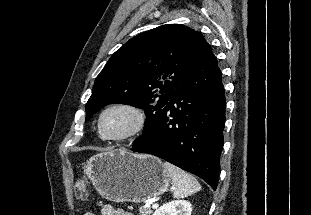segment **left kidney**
Returning <instances> with one entry per match:
<instances>
[{
    "mask_svg": "<svg viewBox=\"0 0 311 215\" xmlns=\"http://www.w3.org/2000/svg\"><path fill=\"white\" fill-rule=\"evenodd\" d=\"M192 207L186 200H176L164 204L153 215H191Z\"/></svg>",
    "mask_w": 311,
    "mask_h": 215,
    "instance_id": "obj_1",
    "label": "left kidney"
}]
</instances>
